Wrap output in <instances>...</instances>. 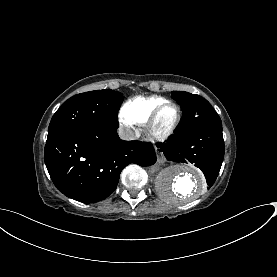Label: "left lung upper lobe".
I'll return each mask as SVG.
<instances>
[{
    "instance_id": "1",
    "label": "left lung upper lobe",
    "mask_w": 277,
    "mask_h": 277,
    "mask_svg": "<svg viewBox=\"0 0 277 277\" xmlns=\"http://www.w3.org/2000/svg\"><path fill=\"white\" fill-rule=\"evenodd\" d=\"M172 98L180 104L183 112V120L178 132L209 125H222L220 117L203 97L184 91H173Z\"/></svg>"
}]
</instances>
